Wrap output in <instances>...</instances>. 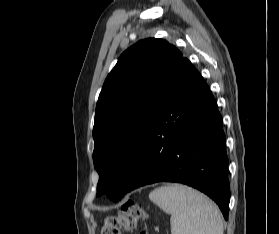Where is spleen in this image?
Wrapping results in <instances>:
<instances>
[{
  "mask_svg": "<svg viewBox=\"0 0 279 234\" xmlns=\"http://www.w3.org/2000/svg\"><path fill=\"white\" fill-rule=\"evenodd\" d=\"M149 198L171 215L172 234H223L218 207L191 187L168 184L154 189Z\"/></svg>",
  "mask_w": 279,
  "mask_h": 234,
  "instance_id": "obj_1",
  "label": "spleen"
}]
</instances>
